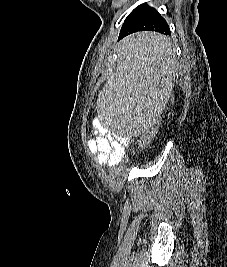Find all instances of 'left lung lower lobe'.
<instances>
[{"label":"left lung lower lobe","mask_w":227,"mask_h":267,"mask_svg":"<svg viewBox=\"0 0 227 267\" xmlns=\"http://www.w3.org/2000/svg\"><path fill=\"white\" fill-rule=\"evenodd\" d=\"M138 31H155L164 35H170V28L166 20L146 3L137 6L125 19L118 40ZM144 41L135 43L136 48H143Z\"/></svg>","instance_id":"left-lung-lower-lobe-1"}]
</instances>
